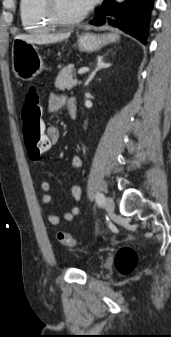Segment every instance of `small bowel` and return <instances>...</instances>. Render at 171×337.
<instances>
[{
	"instance_id": "obj_1",
	"label": "small bowel",
	"mask_w": 171,
	"mask_h": 337,
	"mask_svg": "<svg viewBox=\"0 0 171 337\" xmlns=\"http://www.w3.org/2000/svg\"><path fill=\"white\" fill-rule=\"evenodd\" d=\"M71 102H76L74 98L66 99L64 96L58 94H51L48 97L47 101V111L49 113H54L61 110L64 106L69 107ZM46 137L48 140H51V145H56L60 139V131L59 128L53 125L46 127ZM83 165V160L80 156L74 155L70 159V166L74 169L80 168ZM40 188L43 191L42 201L45 204L51 202V195L49 193L50 184L48 181H42L40 183ZM70 193L74 201H79L81 199L82 191L78 184L74 183L70 187ZM80 213V209L78 206H73L68 212L64 214V219L68 222L72 221L76 216ZM47 221L52 226H58L60 223V219L55 214H48Z\"/></svg>"
}]
</instances>
